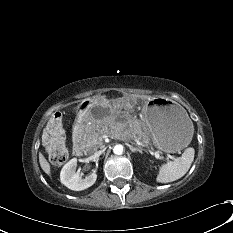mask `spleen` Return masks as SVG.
Wrapping results in <instances>:
<instances>
[{"label": "spleen", "instance_id": "1", "mask_svg": "<svg viewBox=\"0 0 233 233\" xmlns=\"http://www.w3.org/2000/svg\"><path fill=\"white\" fill-rule=\"evenodd\" d=\"M194 153V149L189 147L185 149L180 158L162 165L156 178L157 182L169 183L183 177L194 160Z\"/></svg>", "mask_w": 233, "mask_h": 233}]
</instances>
